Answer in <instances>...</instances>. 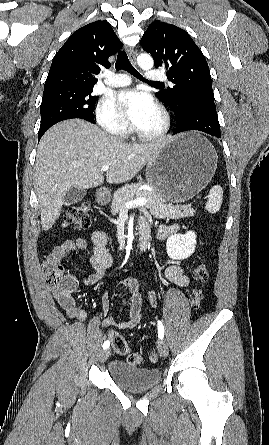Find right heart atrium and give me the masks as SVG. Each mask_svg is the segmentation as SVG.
Listing matches in <instances>:
<instances>
[{"label":"right heart atrium","instance_id":"d8ad5b80","mask_svg":"<svg viewBox=\"0 0 269 445\" xmlns=\"http://www.w3.org/2000/svg\"><path fill=\"white\" fill-rule=\"evenodd\" d=\"M95 117L99 126L112 135L124 137L130 130L128 120L111 98H103L97 104Z\"/></svg>","mask_w":269,"mask_h":445}]
</instances>
